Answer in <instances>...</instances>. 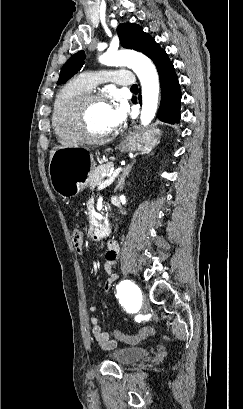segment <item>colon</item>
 Masks as SVG:
<instances>
[{"instance_id": "colon-1", "label": "colon", "mask_w": 243, "mask_h": 409, "mask_svg": "<svg viewBox=\"0 0 243 409\" xmlns=\"http://www.w3.org/2000/svg\"><path fill=\"white\" fill-rule=\"evenodd\" d=\"M72 241L74 244V247L76 249L77 252H82L83 249V234L81 231L79 230H74L72 232ZM115 337L125 343H133L135 341H138L141 338H146V337H150L153 334V329L151 327H144L141 332L135 336H128L125 335L123 333H121L120 331H115L114 332Z\"/></svg>"}]
</instances>
